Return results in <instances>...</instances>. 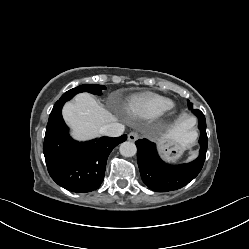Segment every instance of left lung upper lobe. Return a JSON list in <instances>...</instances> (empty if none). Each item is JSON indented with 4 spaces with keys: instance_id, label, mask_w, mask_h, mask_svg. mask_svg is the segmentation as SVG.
I'll return each mask as SVG.
<instances>
[{
    "instance_id": "5c2ea615",
    "label": "left lung upper lobe",
    "mask_w": 249,
    "mask_h": 249,
    "mask_svg": "<svg viewBox=\"0 0 249 249\" xmlns=\"http://www.w3.org/2000/svg\"><path fill=\"white\" fill-rule=\"evenodd\" d=\"M188 107H189V109H190V110H192V109H193V104H192V103H190V102H189V100H188Z\"/></svg>"
}]
</instances>
